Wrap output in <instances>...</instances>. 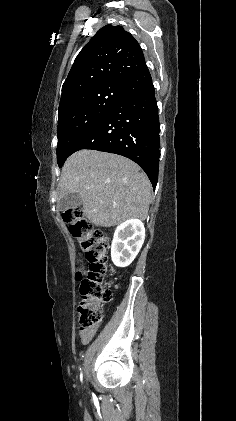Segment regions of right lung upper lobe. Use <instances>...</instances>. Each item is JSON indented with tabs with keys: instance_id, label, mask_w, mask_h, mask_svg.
Wrapping results in <instances>:
<instances>
[{
	"instance_id": "1",
	"label": "right lung upper lobe",
	"mask_w": 236,
	"mask_h": 421,
	"mask_svg": "<svg viewBox=\"0 0 236 421\" xmlns=\"http://www.w3.org/2000/svg\"><path fill=\"white\" fill-rule=\"evenodd\" d=\"M146 66L135 38L121 26L102 27L76 57L62 86L60 105L82 92L119 86Z\"/></svg>"
}]
</instances>
